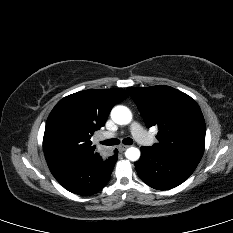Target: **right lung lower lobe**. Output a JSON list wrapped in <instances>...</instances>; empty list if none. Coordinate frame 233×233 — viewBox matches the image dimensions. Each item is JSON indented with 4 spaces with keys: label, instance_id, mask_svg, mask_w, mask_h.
Returning a JSON list of instances; mask_svg holds the SVG:
<instances>
[{
    "label": "right lung lower lobe",
    "instance_id": "98d812e1",
    "mask_svg": "<svg viewBox=\"0 0 233 233\" xmlns=\"http://www.w3.org/2000/svg\"><path fill=\"white\" fill-rule=\"evenodd\" d=\"M117 158V150H114L109 157L96 153L89 157H69L47 163L64 188L78 195L89 196L107 184Z\"/></svg>",
    "mask_w": 233,
    "mask_h": 233
}]
</instances>
